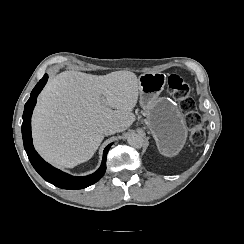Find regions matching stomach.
Segmentation results:
<instances>
[{
  "label": "stomach",
  "mask_w": 244,
  "mask_h": 244,
  "mask_svg": "<svg viewBox=\"0 0 244 244\" xmlns=\"http://www.w3.org/2000/svg\"><path fill=\"white\" fill-rule=\"evenodd\" d=\"M138 82L140 105L159 152L167 157L176 156L186 142L187 126L175 101L159 97L166 84L165 74L144 73L139 76Z\"/></svg>",
  "instance_id": "stomach-1"
}]
</instances>
